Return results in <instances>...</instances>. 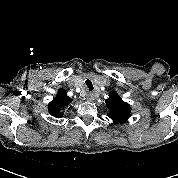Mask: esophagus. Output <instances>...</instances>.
I'll return each instance as SVG.
<instances>
[{
	"label": "esophagus",
	"instance_id": "esophagus-1",
	"mask_svg": "<svg viewBox=\"0 0 178 178\" xmlns=\"http://www.w3.org/2000/svg\"><path fill=\"white\" fill-rule=\"evenodd\" d=\"M87 99L89 101H93V100H95V97H94V95L92 93H89V94H87Z\"/></svg>",
	"mask_w": 178,
	"mask_h": 178
}]
</instances>
